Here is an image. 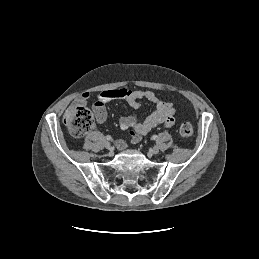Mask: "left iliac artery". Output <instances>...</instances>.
I'll return each mask as SVG.
<instances>
[{
	"mask_svg": "<svg viewBox=\"0 0 259 259\" xmlns=\"http://www.w3.org/2000/svg\"><path fill=\"white\" fill-rule=\"evenodd\" d=\"M151 138H152L153 140H156V139H157V135H153Z\"/></svg>",
	"mask_w": 259,
	"mask_h": 259,
	"instance_id": "obj_1",
	"label": "left iliac artery"
}]
</instances>
